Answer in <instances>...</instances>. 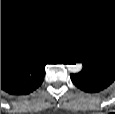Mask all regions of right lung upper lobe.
I'll return each instance as SVG.
<instances>
[{"instance_id":"right-lung-upper-lobe-1","label":"right lung upper lobe","mask_w":115,"mask_h":114,"mask_svg":"<svg viewBox=\"0 0 115 114\" xmlns=\"http://www.w3.org/2000/svg\"><path fill=\"white\" fill-rule=\"evenodd\" d=\"M31 59V56L15 42L6 39L1 40V63H19Z\"/></svg>"}]
</instances>
